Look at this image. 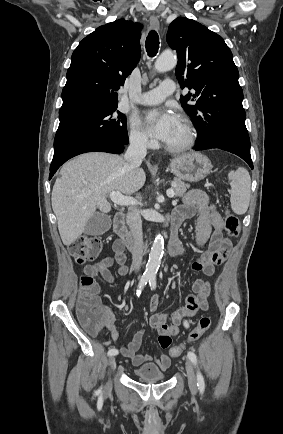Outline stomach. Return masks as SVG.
<instances>
[{
	"label": "stomach",
	"mask_w": 283,
	"mask_h": 434,
	"mask_svg": "<svg viewBox=\"0 0 283 434\" xmlns=\"http://www.w3.org/2000/svg\"><path fill=\"white\" fill-rule=\"evenodd\" d=\"M170 168L178 179L198 182L210 174L212 164L205 155L198 152H190L174 157L171 160Z\"/></svg>",
	"instance_id": "1"
}]
</instances>
